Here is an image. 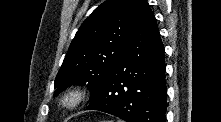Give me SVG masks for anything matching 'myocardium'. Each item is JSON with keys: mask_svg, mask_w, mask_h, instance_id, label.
Returning <instances> with one entry per match:
<instances>
[{"mask_svg": "<svg viewBox=\"0 0 221 122\" xmlns=\"http://www.w3.org/2000/svg\"><path fill=\"white\" fill-rule=\"evenodd\" d=\"M86 98V92L80 87H71L63 92L58 100V105L63 110H74L79 107Z\"/></svg>", "mask_w": 221, "mask_h": 122, "instance_id": "1", "label": "myocardium"}]
</instances>
